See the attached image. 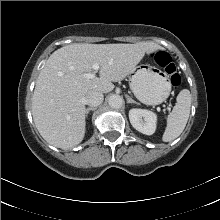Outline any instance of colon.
I'll return each mask as SVG.
<instances>
[{"label":"colon","mask_w":220,"mask_h":220,"mask_svg":"<svg viewBox=\"0 0 220 220\" xmlns=\"http://www.w3.org/2000/svg\"><path fill=\"white\" fill-rule=\"evenodd\" d=\"M153 58L156 64L168 74L172 86L177 88L181 83V76L171 56L167 52L159 51L153 54Z\"/></svg>","instance_id":"colon-1"}]
</instances>
